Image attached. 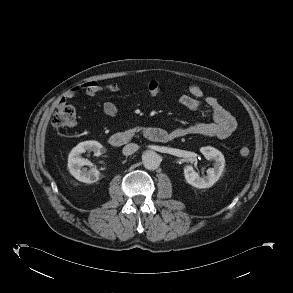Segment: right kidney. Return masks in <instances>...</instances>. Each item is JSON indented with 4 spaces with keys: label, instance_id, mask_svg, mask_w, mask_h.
<instances>
[{
    "label": "right kidney",
    "instance_id": "right-kidney-1",
    "mask_svg": "<svg viewBox=\"0 0 293 293\" xmlns=\"http://www.w3.org/2000/svg\"><path fill=\"white\" fill-rule=\"evenodd\" d=\"M87 150L93 151L94 155L98 157L103 153L104 148L101 143L94 140L79 143L69 153L68 170L78 181L91 184L97 182L101 178V174L95 167L90 170L82 168L84 165H91L87 159L81 156Z\"/></svg>",
    "mask_w": 293,
    "mask_h": 293
}]
</instances>
